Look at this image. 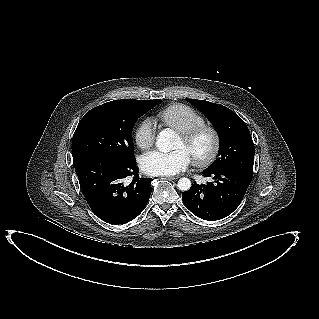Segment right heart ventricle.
Listing matches in <instances>:
<instances>
[{"label": "right heart ventricle", "instance_id": "1", "mask_svg": "<svg viewBox=\"0 0 319 319\" xmlns=\"http://www.w3.org/2000/svg\"><path fill=\"white\" fill-rule=\"evenodd\" d=\"M157 119L177 132L205 123L200 113L185 104H172L165 107L157 114Z\"/></svg>", "mask_w": 319, "mask_h": 319}]
</instances>
